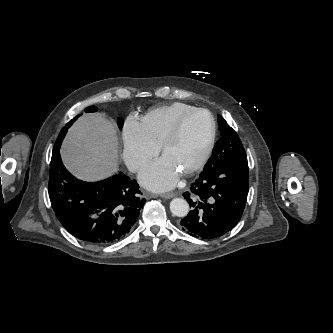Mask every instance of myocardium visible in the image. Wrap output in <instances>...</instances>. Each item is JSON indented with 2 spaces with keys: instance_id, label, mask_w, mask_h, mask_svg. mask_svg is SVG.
Segmentation results:
<instances>
[{
  "instance_id": "f54148a6",
  "label": "myocardium",
  "mask_w": 333,
  "mask_h": 333,
  "mask_svg": "<svg viewBox=\"0 0 333 333\" xmlns=\"http://www.w3.org/2000/svg\"><path fill=\"white\" fill-rule=\"evenodd\" d=\"M198 112H204L209 116L210 132H209L206 144L204 146V149H203L200 157L191 167H189L188 169H186L182 172V175H184V176H189V175H192L193 173L199 171L206 164V162L208 161V159L211 155V152L213 150L214 143H215L216 132H217L216 120H215L213 114L211 113V111H209L206 108L195 107V108L183 113L172 125V127L170 128L168 133L165 135V137L163 138V140L159 146L161 153L164 154L166 149L173 142H175L177 140V138L179 137L182 127H183L185 121L187 120V118Z\"/></svg>"
}]
</instances>
